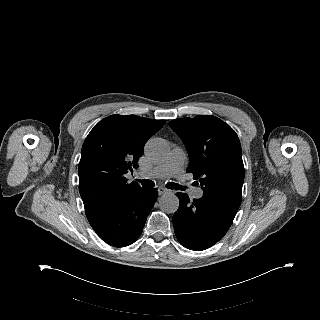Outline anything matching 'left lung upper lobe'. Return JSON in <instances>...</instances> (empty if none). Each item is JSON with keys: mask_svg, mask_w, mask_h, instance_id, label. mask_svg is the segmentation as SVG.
Instances as JSON below:
<instances>
[{"mask_svg": "<svg viewBox=\"0 0 320 320\" xmlns=\"http://www.w3.org/2000/svg\"><path fill=\"white\" fill-rule=\"evenodd\" d=\"M169 125L187 148V172L199 179L203 196L238 211L244 166L237 134L219 118L208 115L175 119Z\"/></svg>", "mask_w": 320, "mask_h": 320, "instance_id": "obj_1", "label": "left lung upper lobe"}]
</instances>
